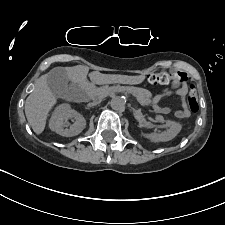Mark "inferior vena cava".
Masks as SVG:
<instances>
[{
    "instance_id": "obj_1",
    "label": "inferior vena cava",
    "mask_w": 225,
    "mask_h": 225,
    "mask_svg": "<svg viewBox=\"0 0 225 225\" xmlns=\"http://www.w3.org/2000/svg\"><path fill=\"white\" fill-rule=\"evenodd\" d=\"M101 100H102V96L94 98L93 102L88 104V107L96 106L97 104L101 102Z\"/></svg>"
}]
</instances>
